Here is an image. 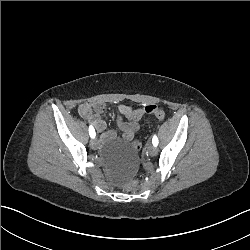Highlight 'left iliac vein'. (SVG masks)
<instances>
[{
  "mask_svg": "<svg viewBox=\"0 0 250 250\" xmlns=\"http://www.w3.org/2000/svg\"><path fill=\"white\" fill-rule=\"evenodd\" d=\"M146 151L150 156H153L157 153V147L154 145H149L146 147Z\"/></svg>",
  "mask_w": 250,
  "mask_h": 250,
  "instance_id": "1",
  "label": "left iliac vein"
}]
</instances>
